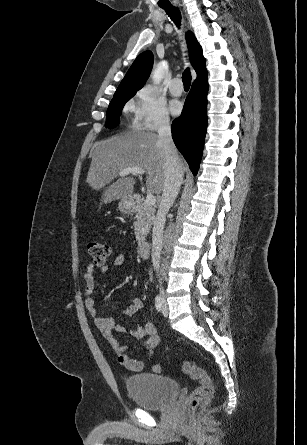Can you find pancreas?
<instances>
[{"instance_id": "obj_1", "label": "pancreas", "mask_w": 307, "mask_h": 445, "mask_svg": "<svg viewBox=\"0 0 307 445\" xmlns=\"http://www.w3.org/2000/svg\"><path fill=\"white\" fill-rule=\"evenodd\" d=\"M155 212V208H153V206H147L145 200L138 204L136 220H134V235L136 241H138V245L145 243V237L153 225V220H155Z\"/></svg>"}]
</instances>
